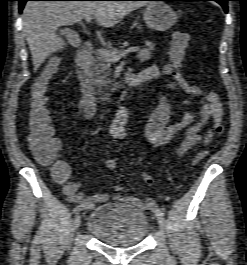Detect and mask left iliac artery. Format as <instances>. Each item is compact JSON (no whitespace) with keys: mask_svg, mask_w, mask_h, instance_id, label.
Returning <instances> with one entry per match:
<instances>
[{"mask_svg":"<svg viewBox=\"0 0 247 265\" xmlns=\"http://www.w3.org/2000/svg\"><path fill=\"white\" fill-rule=\"evenodd\" d=\"M154 212L157 216H160V217H164V211L159 209L157 206L156 208L154 209Z\"/></svg>","mask_w":247,"mask_h":265,"instance_id":"obj_1","label":"left iliac artery"}]
</instances>
